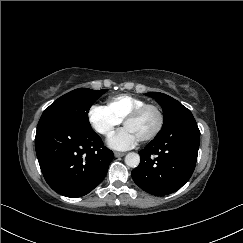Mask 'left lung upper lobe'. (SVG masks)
I'll list each match as a JSON object with an SVG mask.
<instances>
[{
  "label": "left lung upper lobe",
  "mask_w": 243,
  "mask_h": 243,
  "mask_svg": "<svg viewBox=\"0 0 243 243\" xmlns=\"http://www.w3.org/2000/svg\"><path fill=\"white\" fill-rule=\"evenodd\" d=\"M146 95L155 98L163 110L164 122L157 136L171 131L187 120L194 119L190 110L174 98L158 92H150Z\"/></svg>",
  "instance_id": "5c2ea615"
}]
</instances>
